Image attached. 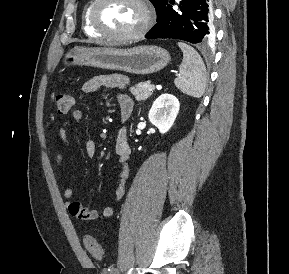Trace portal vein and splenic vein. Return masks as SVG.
<instances>
[{"label": "portal vein and splenic vein", "instance_id": "obj_1", "mask_svg": "<svg viewBox=\"0 0 289 274\" xmlns=\"http://www.w3.org/2000/svg\"><path fill=\"white\" fill-rule=\"evenodd\" d=\"M155 89L154 85L150 87V90L153 91Z\"/></svg>", "mask_w": 289, "mask_h": 274}]
</instances>
